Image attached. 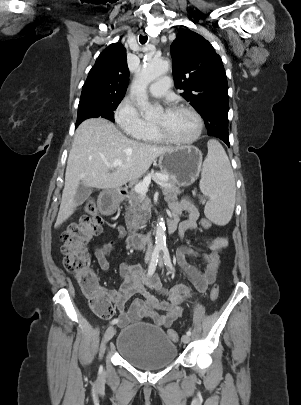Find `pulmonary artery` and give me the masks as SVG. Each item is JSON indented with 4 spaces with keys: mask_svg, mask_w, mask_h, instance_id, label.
Wrapping results in <instances>:
<instances>
[{
    "mask_svg": "<svg viewBox=\"0 0 301 405\" xmlns=\"http://www.w3.org/2000/svg\"><path fill=\"white\" fill-rule=\"evenodd\" d=\"M171 85V78L168 76H163L149 86V92L156 97H161L165 95Z\"/></svg>",
    "mask_w": 301,
    "mask_h": 405,
    "instance_id": "pulmonary-artery-1",
    "label": "pulmonary artery"
}]
</instances>
